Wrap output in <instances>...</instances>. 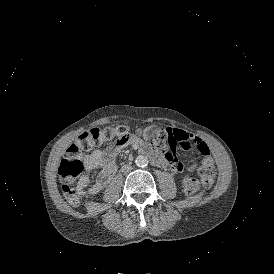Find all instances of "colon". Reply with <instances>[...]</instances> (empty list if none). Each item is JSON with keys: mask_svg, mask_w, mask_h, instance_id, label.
<instances>
[{"mask_svg": "<svg viewBox=\"0 0 274 274\" xmlns=\"http://www.w3.org/2000/svg\"><path fill=\"white\" fill-rule=\"evenodd\" d=\"M96 134L81 133L75 142L71 143L59 163L58 172L62 179V190L67 202L71 205H78L81 192L80 185L75 181L83 172V164L80 159L82 149H99L101 130L94 128ZM143 139L157 147L167 146V140L171 135L167 134V127L149 126L140 131ZM104 135L111 142L119 145L126 142L127 130L123 126L107 128L103 130ZM185 187L188 193H194L200 186V181L193 175L184 177Z\"/></svg>", "mask_w": 274, "mask_h": 274, "instance_id": "5ec220e1", "label": "colon"}]
</instances>
